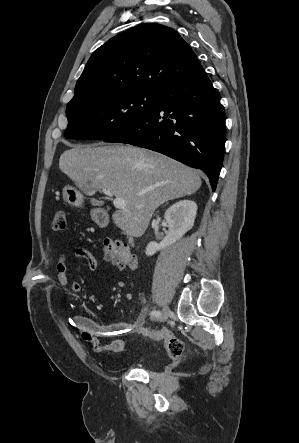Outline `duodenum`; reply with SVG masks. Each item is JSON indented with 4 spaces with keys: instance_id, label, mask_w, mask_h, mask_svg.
<instances>
[{
    "instance_id": "duodenum-1",
    "label": "duodenum",
    "mask_w": 299,
    "mask_h": 443,
    "mask_svg": "<svg viewBox=\"0 0 299 443\" xmlns=\"http://www.w3.org/2000/svg\"><path fill=\"white\" fill-rule=\"evenodd\" d=\"M126 236L128 237L129 242H130V243H133L134 239L132 238V236H130V235H128V234H126Z\"/></svg>"
}]
</instances>
